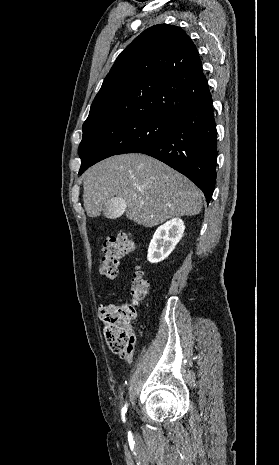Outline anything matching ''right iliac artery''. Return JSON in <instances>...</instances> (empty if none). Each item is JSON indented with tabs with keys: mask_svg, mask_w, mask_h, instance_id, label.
Returning a JSON list of instances; mask_svg holds the SVG:
<instances>
[{
	"mask_svg": "<svg viewBox=\"0 0 279 465\" xmlns=\"http://www.w3.org/2000/svg\"><path fill=\"white\" fill-rule=\"evenodd\" d=\"M126 411H127V405H125L124 408L122 409V416L123 417H124Z\"/></svg>",
	"mask_w": 279,
	"mask_h": 465,
	"instance_id": "obj_1",
	"label": "right iliac artery"
}]
</instances>
